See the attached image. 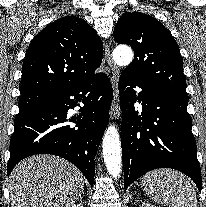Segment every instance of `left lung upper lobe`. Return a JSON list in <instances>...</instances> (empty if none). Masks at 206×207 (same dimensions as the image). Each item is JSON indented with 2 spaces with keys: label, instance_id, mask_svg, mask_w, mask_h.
Instances as JSON below:
<instances>
[{
  "label": "left lung upper lobe",
  "instance_id": "1",
  "mask_svg": "<svg viewBox=\"0 0 206 207\" xmlns=\"http://www.w3.org/2000/svg\"><path fill=\"white\" fill-rule=\"evenodd\" d=\"M113 36L117 43L129 44L135 54L122 74L148 86L187 95L179 47L157 19L126 12L118 20Z\"/></svg>",
  "mask_w": 206,
  "mask_h": 207
}]
</instances>
